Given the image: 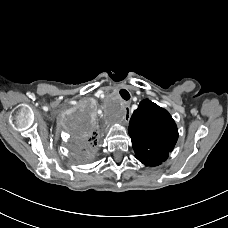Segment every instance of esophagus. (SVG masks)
I'll return each instance as SVG.
<instances>
[{"mask_svg": "<svg viewBox=\"0 0 228 228\" xmlns=\"http://www.w3.org/2000/svg\"><path fill=\"white\" fill-rule=\"evenodd\" d=\"M124 110H125V113H127L129 116L131 115V110H130L129 105L125 104Z\"/></svg>", "mask_w": 228, "mask_h": 228, "instance_id": "esophagus-1", "label": "esophagus"}]
</instances>
